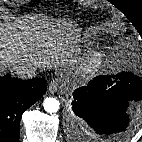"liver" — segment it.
<instances>
[{
	"label": "liver",
	"instance_id": "liver-1",
	"mask_svg": "<svg viewBox=\"0 0 142 142\" xmlns=\"http://www.w3.org/2000/svg\"><path fill=\"white\" fill-rule=\"evenodd\" d=\"M5 26L0 25V74L17 63H33L42 70L65 64L71 24L44 18Z\"/></svg>",
	"mask_w": 142,
	"mask_h": 142
}]
</instances>
